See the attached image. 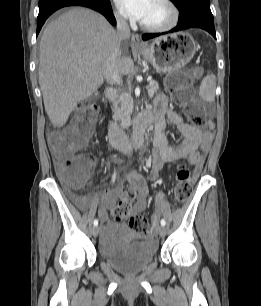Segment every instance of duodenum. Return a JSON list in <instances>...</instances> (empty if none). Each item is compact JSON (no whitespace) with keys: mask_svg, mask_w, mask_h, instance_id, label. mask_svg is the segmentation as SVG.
<instances>
[{"mask_svg":"<svg viewBox=\"0 0 261 306\" xmlns=\"http://www.w3.org/2000/svg\"><path fill=\"white\" fill-rule=\"evenodd\" d=\"M109 101H114L117 97V92L114 89L107 91ZM155 118L152 113H143L138 115L132 123L133 138H128L122 128L114 121L108 125L109 140L111 144L122 152H130L133 149L141 146L145 140L146 129L153 124Z\"/></svg>","mask_w":261,"mask_h":306,"instance_id":"obj_1","label":"duodenum"}]
</instances>
